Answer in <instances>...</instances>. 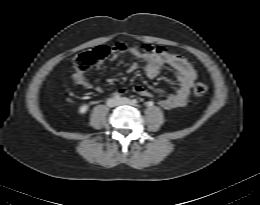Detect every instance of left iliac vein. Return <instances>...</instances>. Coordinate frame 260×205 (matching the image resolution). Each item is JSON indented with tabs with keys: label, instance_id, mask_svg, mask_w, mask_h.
<instances>
[{
	"label": "left iliac vein",
	"instance_id": "obj_1",
	"mask_svg": "<svg viewBox=\"0 0 260 205\" xmlns=\"http://www.w3.org/2000/svg\"><path fill=\"white\" fill-rule=\"evenodd\" d=\"M118 104L119 105H131L132 102L128 98H121V99L118 100Z\"/></svg>",
	"mask_w": 260,
	"mask_h": 205
}]
</instances>
